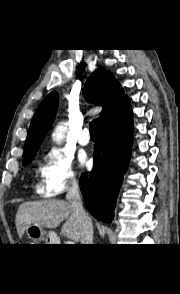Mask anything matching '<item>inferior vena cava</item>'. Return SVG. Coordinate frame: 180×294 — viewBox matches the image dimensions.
Masks as SVG:
<instances>
[{"mask_svg": "<svg viewBox=\"0 0 180 294\" xmlns=\"http://www.w3.org/2000/svg\"><path fill=\"white\" fill-rule=\"evenodd\" d=\"M66 199L71 204L78 223V229L80 233V244H93L92 220L83 208L80 190L76 180H72L67 191Z\"/></svg>", "mask_w": 180, "mask_h": 294, "instance_id": "1", "label": "inferior vena cava"}]
</instances>
